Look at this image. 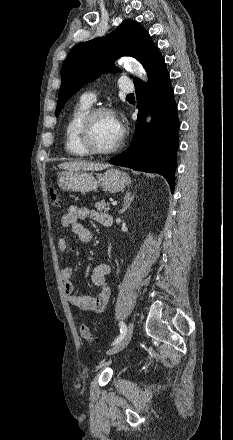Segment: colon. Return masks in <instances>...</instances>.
Masks as SVG:
<instances>
[{
  "label": "colon",
  "instance_id": "colon-1",
  "mask_svg": "<svg viewBox=\"0 0 233 440\" xmlns=\"http://www.w3.org/2000/svg\"><path fill=\"white\" fill-rule=\"evenodd\" d=\"M49 197L53 206L58 207L60 205L61 201L59 195L53 187H50L49 189ZM80 334L88 343L90 344L95 343L96 340L91 334L90 329L86 324L80 325Z\"/></svg>",
  "mask_w": 233,
  "mask_h": 440
}]
</instances>
